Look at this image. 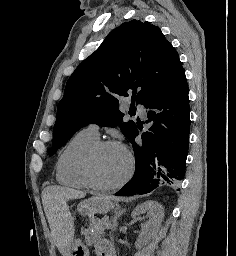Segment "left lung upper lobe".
<instances>
[{"label":"left lung upper lobe","mask_w":236,"mask_h":256,"mask_svg":"<svg viewBox=\"0 0 236 256\" xmlns=\"http://www.w3.org/2000/svg\"><path fill=\"white\" fill-rule=\"evenodd\" d=\"M181 68L178 53L157 26L140 20L123 23L68 79L58 104L49 155L91 123L119 125L130 140L136 124L122 122L119 98L132 94V115L135 101L144 105Z\"/></svg>","instance_id":"5c2ea615"}]
</instances>
